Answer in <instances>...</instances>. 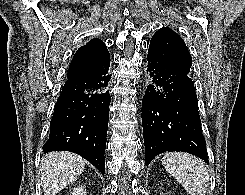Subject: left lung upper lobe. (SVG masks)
Instances as JSON below:
<instances>
[{"mask_svg":"<svg viewBox=\"0 0 245 195\" xmlns=\"http://www.w3.org/2000/svg\"><path fill=\"white\" fill-rule=\"evenodd\" d=\"M147 58L176 75H189L192 59L182 38L170 28L159 29L151 38Z\"/></svg>","mask_w":245,"mask_h":195,"instance_id":"5c2ea615","label":"left lung upper lobe"}]
</instances>
